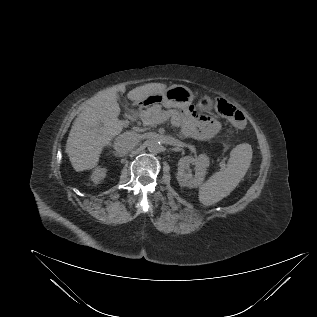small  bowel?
<instances>
[{
  "instance_id": "obj_1",
  "label": "small bowel",
  "mask_w": 317,
  "mask_h": 317,
  "mask_svg": "<svg viewBox=\"0 0 317 317\" xmlns=\"http://www.w3.org/2000/svg\"><path fill=\"white\" fill-rule=\"evenodd\" d=\"M172 121L184 137L196 140L212 138L220 130V123L207 114H202L199 118H194L188 114H180L175 115Z\"/></svg>"
}]
</instances>
